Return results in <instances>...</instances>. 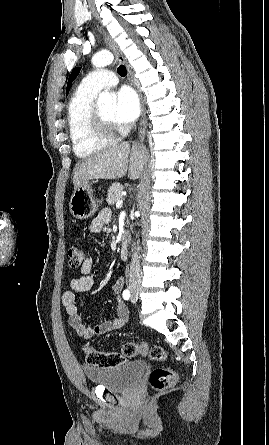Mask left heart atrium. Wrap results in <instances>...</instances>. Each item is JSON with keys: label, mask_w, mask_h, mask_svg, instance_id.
<instances>
[{"label": "left heart atrium", "mask_w": 269, "mask_h": 445, "mask_svg": "<svg viewBox=\"0 0 269 445\" xmlns=\"http://www.w3.org/2000/svg\"><path fill=\"white\" fill-rule=\"evenodd\" d=\"M115 98L114 120L120 124L134 122L140 111L136 93L129 87H122L116 92Z\"/></svg>", "instance_id": "39dd6f15"}]
</instances>
